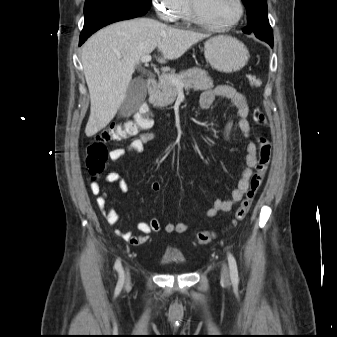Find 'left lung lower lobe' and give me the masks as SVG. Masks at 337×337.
Instances as JSON below:
<instances>
[{"mask_svg":"<svg viewBox=\"0 0 337 337\" xmlns=\"http://www.w3.org/2000/svg\"><path fill=\"white\" fill-rule=\"evenodd\" d=\"M265 42H267L271 47H273V40H269V39H263V38H259Z\"/></svg>","mask_w":337,"mask_h":337,"instance_id":"obj_1","label":"left lung lower lobe"}]
</instances>
